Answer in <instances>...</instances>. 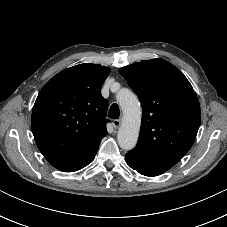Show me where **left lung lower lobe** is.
I'll list each match as a JSON object with an SVG mask.
<instances>
[{"label": "left lung lower lobe", "instance_id": "obj_1", "mask_svg": "<svg viewBox=\"0 0 227 227\" xmlns=\"http://www.w3.org/2000/svg\"><path fill=\"white\" fill-rule=\"evenodd\" d=\"M126 158V161H127V164L134 170H136L137 172H139L140 174L142 175H145V176H158L162 173H164L165 171H161V170H156V169H153V168H150V167H147V166H144L132 159H129L127 157Z\"/></svg>", "mask_w": 227, "mask_h": 227}]
</instances>
